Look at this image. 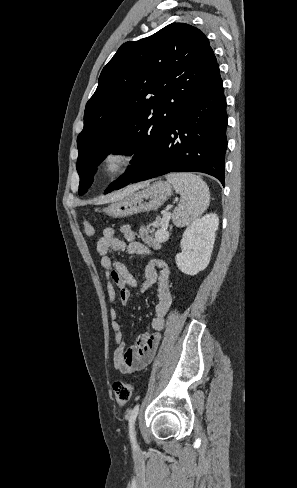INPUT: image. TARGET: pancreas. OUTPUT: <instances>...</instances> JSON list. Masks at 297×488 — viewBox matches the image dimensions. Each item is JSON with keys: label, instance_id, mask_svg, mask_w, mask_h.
Here are the masks:
<instances>
[{"label": "pancreas", "instance_id": "pancreas-1", "mask_svg": "<svg viewBox=\"0 0 297 488\" xmlns=\"http://www.w3.org/2000/svg\"><path fill=\"white\" fill-rule=\"evenodd\" d=\"M156 223H157V225H164V223H165V222L163 221V219H162V218H160V217H159V218H157ZM150 225H151V224H150ZM150 225H149V226H150ZM145 231H146L147 233H152L151 231H148V230H144V232H145ZM148 241H149L150 243H154V244H155L154 239H153L151 236H149V235H148Z\"/></svg>", "mask_w": 297, "mask_h": 488}]
</instances>
